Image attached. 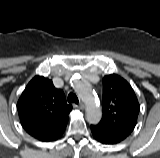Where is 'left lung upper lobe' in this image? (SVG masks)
Masks as SVG:
<instances>
[{"instance_id":"obj_1","label":"left lung upper lobe","mask_w":160,"mask_h":158,"mask_svg":"<svg viewBox=\"0 0 160 158\" xmlns=\"http://www.w3.org/2000/svg\"><path fill=\"white\" fill-rule=\"evenodd\" d=\"M139 110L135 92L125 79L117 74L103 78V116L99 125L127 137L136 125Z\"/></svg>"}]
</instances>
